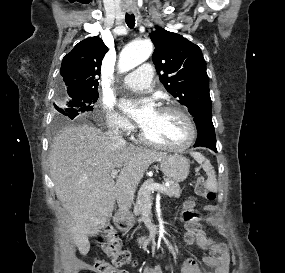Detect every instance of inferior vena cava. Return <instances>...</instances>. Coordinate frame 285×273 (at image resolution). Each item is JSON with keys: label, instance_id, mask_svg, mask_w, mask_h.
<instances>
[{"label": "inferior vena cava", "instance_id": "602c4592", "mask_svg": "<svg viewBox=\"0 0 285 273\" xmlns=\"http://www.w3.org/2000/svg\"><path fill=\"white\" fill-rule=\"evenodd\" d=\"M119 126H120V124H115V126L113 127V129L112 130H109L108 132H107V135L111 138V139H113V140H115V141H118V142H123L124 141V139H123V137H122V135H121V131L119 130Z\"/></svg>", "mask_w": 285, "mask_h": 273}]
</instances>
